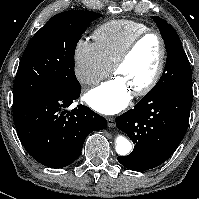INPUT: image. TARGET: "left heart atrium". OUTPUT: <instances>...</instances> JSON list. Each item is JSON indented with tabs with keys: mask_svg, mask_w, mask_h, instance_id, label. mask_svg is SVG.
Instances as JSON below:
<instances>
[{
	"mask_svg": "<svg viewBox=\"0 0 199 199\" xmlns=\"http://www.w3.org/2000/svg\"><path fill=\"white\" fill-rule=\"evenodd\" d=\"M131 90L125 81L115 76L89 90L85 96L88 105L95 111L112 115L122 111L131 100Z\"/></svg>",
	"mask_w": 199,
	"mask_h": 199,
	"instance_id": "obj_1",
	"label": "left heart atrium"
}]
</instances>
